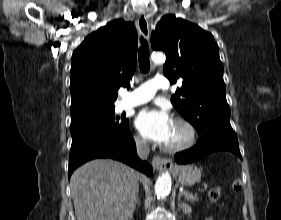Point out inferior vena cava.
Returning <instances> with one entry per match:
<instances>
[{"label": "inferior vena cava", "instance_id": "inferior-vena-cava-1", "mask_svg": "<svg viewBox=\"0 0 281 220\" xmlns=\"http://www.w3.org/2000/svg\"><path fill=\"white\" fill-rule=\"evenodd\" d=\"M136 147L138 156L141 159H147L150 153L149 145L147 144V142L142 139H136Z\"/></svg>", "mask_w": 281, "mask_h": 220}]
</instances>
